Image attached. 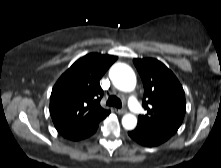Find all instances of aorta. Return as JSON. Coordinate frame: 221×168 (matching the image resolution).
<instances>
[{"label": "aorta", "mask_w": 221, "mask_h": 168, "mask_svg": "<svg viewBox=\"0 0 221 168\" xmlns=\"http://www.w3.org/2000/svg\"><path fill=\"white\" fill-rule=\"evenodd\" d=\"M114 86L121 91L131 92L136 86V75L132 68L124 63L114 64L109 73ZM122 125L127 130H132L137 125V118L133 114H125L122 118Z\"/></svg>", "instance_id": "aorta-1"}]
</instances>
